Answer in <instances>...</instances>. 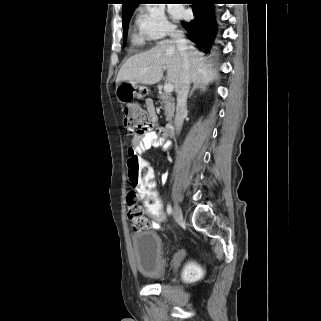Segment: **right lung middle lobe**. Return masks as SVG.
Returning <instances> with one entry per match:
<instances>
[{"label": "right lung middle lobe", "instance_id": "obj_1", "mask_svg": "<svg viewBox=\"0 0 321 321\" xmlns=\"http://www.w3.org/2000/svg\"><path fill=\"white\" fill-rule=\"evenodd\" d=\"M133 12H128L124 15H122V23H123V36H124V45L126 42V37H127V30H128V23L130 21V18L132 16Z\"/></svg>", "mask_w": 321, "mask_h": 321}]
</instances>
